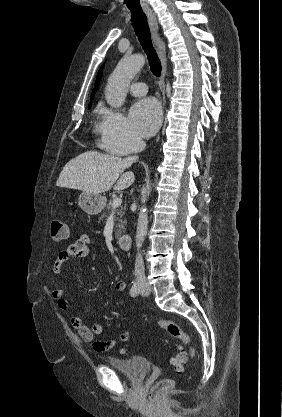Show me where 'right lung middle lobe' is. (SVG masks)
Here are the masks:
<instances>
[{
	"label": "right lung middle lobe",
	"mask_w": 282,
	"mask_h": 417,
	"mask_svg": "<svg viewBox=\"0 0 282 417\" xmlns=\"http://www.w3.org/2000/svg\"><path fill=\"white\" fill-rule=\"evenodd\" d=\"M94 98V95H92L91 97H90V99L92 100ZM91 107V102L89 103V108Z\"/></svg>",
	"instance_id": "dd1d6c3e"
}]
</instances>
